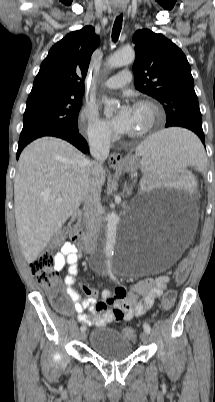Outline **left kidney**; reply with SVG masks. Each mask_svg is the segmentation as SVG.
I'll return each mask as SVG.
<instances>
[{"label":"left kidney","instance_id":"obj_1","mask_svg":"<svg viewBox=\"0 0 215 402\" xmlns=\"http://www.w3.org/2000/svg\"><path fill=\"white\" fill-rule=\"evenodd\" d=\"M144 175V187H160L162 183H169L178 184L173 186V191L178 193H194L197 190L191 169H146Z\"/></svg>","mask_w":215,"mask_h":402}]
</instances>
